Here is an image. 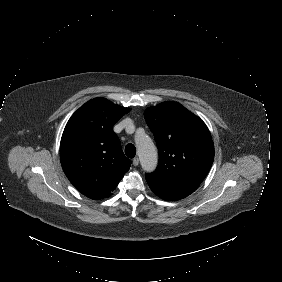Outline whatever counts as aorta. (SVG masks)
<instances>
[{"label":"aorta","mask_w":282,"mask_h":282,"mask_svg":"<svg viewBox=\"0 0 282 282\" xmlns=\"http://www.w3.org/2000/svg\"><path fill=\"white\" fill-rule=\"evenodd\" d=\"M135 144L142 169L153 172L158 164V152L151 138L145 133L135 135Z\"/></svg>","instance_id":"aorta-1"}]
</instances>
